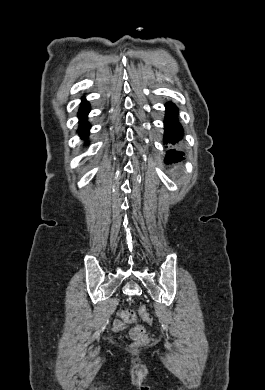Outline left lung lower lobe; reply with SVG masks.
Masks as SVG:
<instances>
[{"mask_svg":"<svg viewBox=\"0 0 265 390\" xmlns=\"http://www.w3.org/2000/svg\"><path fill=\"white\" fill-rule=\"evenodd\" d=\"M177 107L173 103L166 104V117L164 121V143L169 144L165 163L184 160L185 153L177 150V143L183 138V128L177 119ZM167 147V146H166Z\"/></svg>","mask_w":265,"mask_h":390,"instance_id":"0a47b994","label":"left lung lower lobe"}]
</instances>
